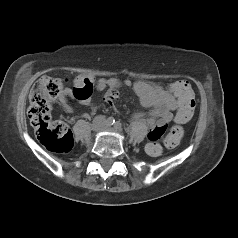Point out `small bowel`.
<instances>
[{"mask_svg":"<svg viewBox=\"0 0 238 238\" xmlns=\"http://www.w3.org/2000/svg\"><path fill=\"white\" fill-rule=\"evenodd\" d=\"M180 81L174 82L167 89L154 85L145 81H131L125 79L123 81L117 78H100L94 83L91 79L84 76H78L74 80V89H65L60 98V105L63 111L69 113L72 106L68 102V97L74 95L75 91L79 93L76 98L85 105H90L92 110L95 106L91 101V90L94 87L98 91L107 89L106 100L111 102L117 98V90L121 87L130 88L139 98L141 104L145 107H151L152 111L147 115L146 122L150 127L164 125L174 119L173 112L177 109L179 102L177 88ZM75 96V95H74ZM86 118L88 114L84 115ZM137 118L142 117L137 115ZM176 122V121H175ZM185 123V122H184Z\"/></svg>","mask_w":238,"mask_h":238,"instance_id":"1","label":"small bowel"}]
</instances>
